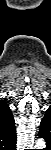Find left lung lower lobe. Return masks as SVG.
<instances>
[{"instance_id":"left-lung-lower-lobe-1","label":"left lung lower lobe","mask_w":51,"mask_h":150,"mask_svg":"<svg viewBox=\"0 0 51 150\" xmlns=\"http://www.w3.org/2000/svg\"><path fill=\"white\" fill-rule=\"evenodd\" d=\"M39 137L44 138L40 132H39ZM44 139L46 140V142H47V144H48V142H49V138H44Z\"/></svg>"}]
</instances>
